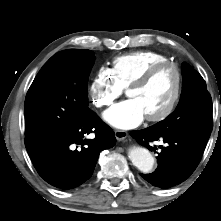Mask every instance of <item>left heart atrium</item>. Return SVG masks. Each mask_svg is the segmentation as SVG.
Listing matches in <instances>:
<instances>
[{
  "label": "left heart atrium",
  "instance_id": "1",
  "mask_svg": "<svg viewBox=\"0 0 221 221\" xmlns=\"http://www.w3.org/2000/svg\"><path fill=\"white\" fill-rule=\"evenodd\" d=\"M145 113L138 100L129 98L104 113V119L115 128L132 129L141 124Z\"/></svg>",
  "mask_w": 221,
  "mask_h": 221
}]
</instances>
